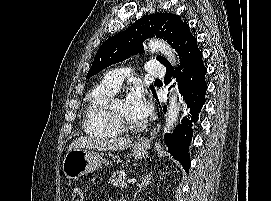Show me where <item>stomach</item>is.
Listing matches in <instances>:
<instances>
[{
	"label": "stomach",
	"instance_id": "stomach-1",
	"mask_svg": "<svg viewBox=\"0 0 271 201\" xmlns=\"http://www.w3.org/2000/svg\"><path fill=\"white\" fill-rule=\"evenodd\" d=\"M147 145H132V156L135 159L147 157ZM108 163L102 153L87 149H74L68 152L63 161V172L68 179H78L84 174L99 169Z\"/></svg>",
	"mask_w": 271,
	"mask_h": 201
}]
</instances>
